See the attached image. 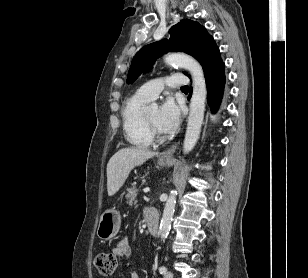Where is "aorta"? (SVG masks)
Masks as SVG:
<instances>
[{"label": "aorta", "mask_w": 308, "mask_h": 278, "mask_svg": "<svg viewBox=\"0 0 308 278\" xmlns=\"http://www.w3.org/2000/svg\"><path fill=\"white\" fill-rule=\"evenodd\" d=\"M164 60L168 64L177 65L188 70L193 80V94L183 144V152L187 154L196 145L201 132L207 97L205 77L201 65L191 56L182 53H172L166 55ZM149 107L151 109H157L158 106L156 103H152ZM176 194V191L172 190L165 204L160 224V236L162 240H165L169 235L171 221L175 211Z\"/></svg>", "instance_id": "1"}]
</instances>
